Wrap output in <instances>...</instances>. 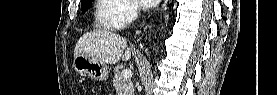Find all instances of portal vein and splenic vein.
Returning a JSON list of instances; mask_svg holds the SVG:
<instances>
[{
	"instance_id": "portal-vein-and-splenic-vein-1",
	"label": "portal vein and splenic vein",
	"mask_w": 277,
	"mask_h": 95,
	"mask_svg": "<svg viewBox=\"0 0 277 95\" xmlns=\"http://www.w3.org/2000/svg\"><path fill=\"white\" fill-rule=\"evenodd\" d=\"M132 72L130 70H123L121 72V77L125 78V79H130L132 77Z\"/></svg>"
}]
</instances>
